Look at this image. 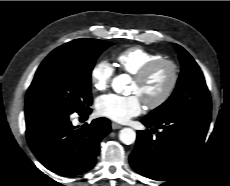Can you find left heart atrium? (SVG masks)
<instances>
[{"label":"left heart atrium","instance_id":"obj_1","mask_svg":"<svg viewBox=\"0 0 230 186\" xmlns=\"http://www.w3.org/2000/svg\"><path fill=\"white\" fill-rule=\"evenodd\" d=\"M98 113L116 122H127L142 111V102L138 95L120 96L107 94L96 103Z\"/></svg>","mask_w":230,"mask_h":186}]
</instances>
